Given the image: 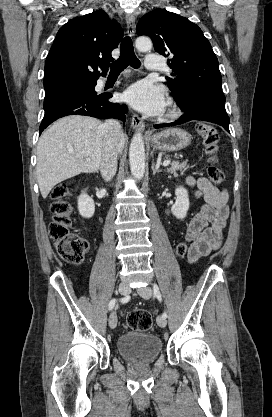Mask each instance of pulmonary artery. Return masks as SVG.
<instances>
[{"label": "pulmonary artery", "instance_id": "obj_1", "mask_svg": "<svg viewBox=\"0 0 272 417\" xmlns=\"http://www.w3.org/2000/svg\"><path fill=\"white\" fill-rule=\"evenodd\" d=\"M145 67L149 70H160L162 68L160 57L155 54L147 55L145 59Z\"/></svg>", "mask_w": 272, "mask_h": 417}]
</instances>
